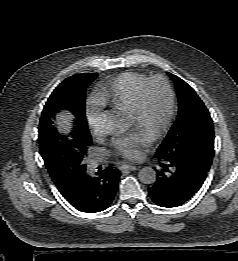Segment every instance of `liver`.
<instances>
[{
  "mask_svg": "<svg viewBox=\"0 0 238 261\" xmlns=\"http://www.w3.org/2000/svg\"><path fill=\"white\" fill-rule=\"evenodd\" d=\"M66 119L63 116L58 117V125L62 131L66 130Z\"/></svg>",
  "mask_w": 238,
  "mask_h": 261,
  "instance_id": "6515ba94",
  "label": "liver"
}]
</instances>
